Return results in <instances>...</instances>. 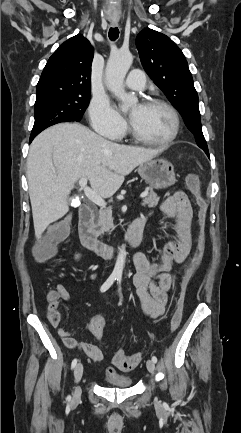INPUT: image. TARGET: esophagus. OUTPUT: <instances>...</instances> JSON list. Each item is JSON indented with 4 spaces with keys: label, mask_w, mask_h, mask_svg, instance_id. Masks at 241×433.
Returning a JSON list of instances; mask_svg holds the SVG:
<instances>
[{
    "label": "esophagus",
    "mask_w": 241,
    "mask_h": 433,
    "mask_svg": "<svg viewBox=\"0 0 241 433\" xmlns=\"http://www.w3.org/2000/svg\"><path fill=\"white\" fill-rule=\"evenodd\" d=\"M111 24H112L113 26H116V25H117V22H116V21H113Z\"/></svg>",
    "instance_id": "34e87169"
}]
</instances>
